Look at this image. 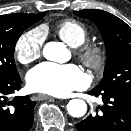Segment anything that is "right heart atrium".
Wrapping results in <instances>:
<instances>
[{
	"instance_id": "d8ad5b80",
	"label": "right heart atrium",
	"mask_w": 131,
	"mask_h": 131,
	"mask_svg": "<svg viewBox=\"0 0 131 131\" xmlns=\"http://www.w3.org/2000/svg\"><path fill=\"white\" fill-rule=\"evenodd\" d=\"M45 32L42 28H33L23 33L15 43L17 60L26 65L37 60L42 53Z\"/></svg>"
}]
</instances>
